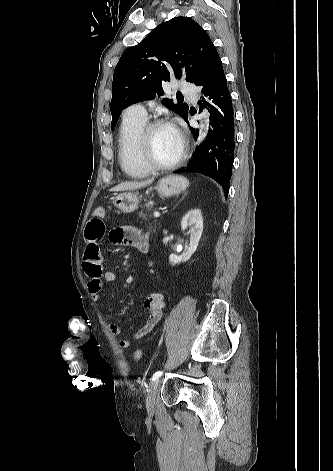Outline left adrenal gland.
Segmentation results:
<instances>
[{
    "label": "left adrenal gland",
    "mask_w": 333,
    "mask_h": 471,
    "mask_svg": "<svg viewBox=\"0 0 333 471\" xmlns=\"http://www.w3.org/2000/svg\"><path fill=\"white\" fill-rule=\"evenodd\" d=\"M186 195H187V193H185V194L183 195V197L180 199L179 202H181V201L184 199V197H185Z\"/></svg>",
    "instance_id": "1"
}]
</instances>
